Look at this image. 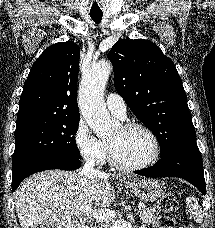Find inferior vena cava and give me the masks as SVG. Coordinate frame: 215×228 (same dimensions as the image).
I'll return each instance as SVG.
<instances>
[{
    "label": "inferior vena cava",
    "mask_w": 215,
    "mask_h": 228,
    "mask_svg": "<svg viewBox=\"0 0 215 228\" xmlns=\"http://www.w3.org/2000/svg\"><path fill=\"white\" fill-rule=\"evenodd\" d=\"M95 162V158H87L81 172H79L80 176H84V178L103 176L104 172H99V170H95Z\"/></svg>",
    "instance_id": "obj_1"
}]
</instances>
